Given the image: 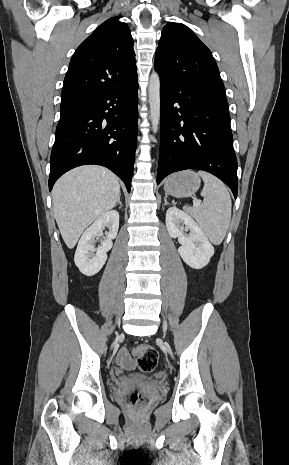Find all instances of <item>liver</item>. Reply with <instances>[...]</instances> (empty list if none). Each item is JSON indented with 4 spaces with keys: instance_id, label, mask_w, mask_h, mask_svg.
Segmentation results:
<instances>
[{
    "instance_id": "obj_1",
    "label": "liver",
    "mask_w": 289,
    "mask_h": 465,
    "mask_svg": "<svg viewBox=\"0 0 289 465\" xmlns=\"http://www.w3.org/2000/svg\"><path fill=\"white\" fill-rule=\"evenodd\" d=\"M120 196L117 176L96 165L75 168L55 183L52 190L54 216L61 236L72 249L83 231L111 210Z\"/></svg>"
}]
</instances>
